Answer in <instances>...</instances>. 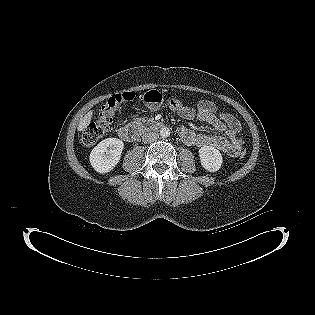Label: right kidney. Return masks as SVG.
Instances as JSON below:
<instances>
[{"label": "right kidney", "instance_id": "right-kidney-1", "mask_svg": "<svg viewBox=\"0 0 315 315\" xmlns=\"http://www.w3.org/2000/svg\"><path fill=\"white\" fill-rule=\"evenodd\" d=\"M123 149L122 140L117 138L104 139L90 153L91 166L101 174L110 172L118 164Z\"/></svg>", "mask_w": 315, "mask_h": 315}]
</instances>
